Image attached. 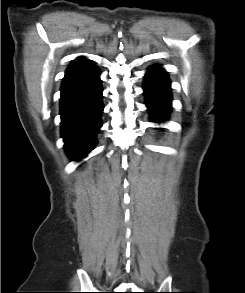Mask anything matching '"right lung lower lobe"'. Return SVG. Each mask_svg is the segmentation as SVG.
<instances>
[{
    "instance_id": "98d812e1",
    "label": "right lung lower lobe",
    "mask_w": 245,
    "mask_h": 293,
    "mask_svg": "<svg viewBox=\"0 0 245 293\" xmlns=\"http://www.w3.org/2000/svg\"><path fill=\"white\" fill-rule=\"evenodd\" d=\"M99 75V69L94 67L61 86V136L72 160L85 157L97 143L104 109Z\"/></svg>"
}]
</instances>
